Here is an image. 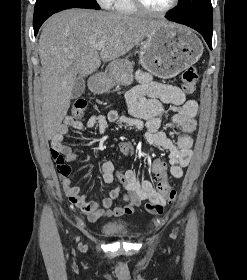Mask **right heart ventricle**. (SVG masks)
<instances>
[{
    "mask_svg": "<svg viewBox=\"0 0 247 280\" xmlns=\"http://www.w3.org/2000/svg\"><path fill=\"white\" fill-rule=\"evenodd\" d=\"M112 9L121 14H135L138 12L132 0H113Z\"/></svg>",
    "mask_w": 247,
    "mask_h": 280,
    "instance_id": "e07e8e85",
    "label": "right heart ventricle"
}]
</instances>
